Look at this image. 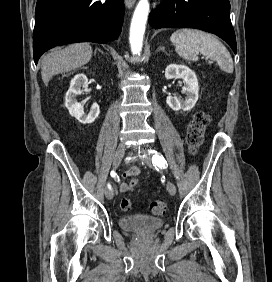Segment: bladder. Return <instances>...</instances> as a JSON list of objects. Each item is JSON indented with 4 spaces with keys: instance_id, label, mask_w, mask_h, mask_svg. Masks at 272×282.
Returning a JSON list of instances; mask_svg holds the SVG:
<instances>
[{
    "instance_id": "bladder-1",
    "label": "bladder",
    "mask_w": 272,
    "mask_h": 282,
    "mask_svg": "<svg viewBox=\"0 0 272 282\" xmlns=\"http://www.w3.org/2000/svg\"><path fill=\"white\" fill-rule=\"evenodd\" d=\"M120 227L138 234H153L159 230L164 221L158 217L145 215H129L118 220Z\"/></svg>"
}]
</instances>
